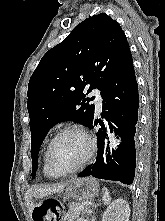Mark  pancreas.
I'll return each mask as SVG.
<instances>
[{
  "label": "pancreas",
  "instance_id": "obj_1",
  "mask_svg": "<svg viewBox=\"0 0 165 221\" xmlns=\"http://www.w3.org/2000/svg\"><path fill=\"white\" fill-rule=\"evenodd\" d=\"M77 206H78V204H76V203H71L69 205V210L66 213V215L64 216L65 221H74L79 217L80 211H78L76 209Z\"/></svg>",
  "mask_w": 165,
  "mask_h": 221
}]
</instances>
